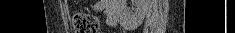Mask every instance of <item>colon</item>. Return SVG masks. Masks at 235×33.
I'll list each match as a JSON object with an SVG mask.
<instances>
[{
    "mask_svg": "<svg viewBox=\"0 0 235 33\" xmlns=\"http://www.w3.org/2000/svg\"><path fill=\"white\" fill-rule=\"evenodd\" d=\"M71 22L75 33H98L100 30L98 19L85 12L74 13Z\"/></svg>",
    "mask_w": 235,
    "mask_h": 33,
    "instance_id": "obj_1",
    "label": "colon"
}]
</instances>
